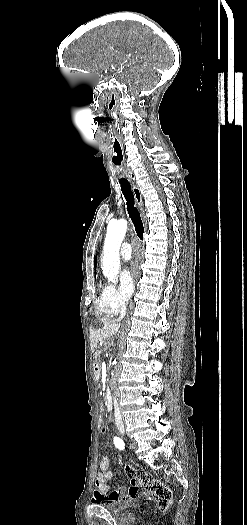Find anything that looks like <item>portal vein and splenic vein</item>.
Here are the masks:
<instances>
[{
    "label": "portal vein and splenic vein",
    "instance_id": "obj_1",
    "mask_svg": "<svg viewBox=\"0 0 247 525\" xmlns=\"http://www.w3.org/2000/svg\"><path fill=\"white\" fill-rule=\"evenodd\" d=\"M99 370H102V364H98Z\"/></svg>",
    "mask_w": 247,
    "mask_h": 525
}]
</instances>
